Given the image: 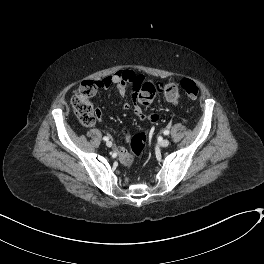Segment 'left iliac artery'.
Listing matches in <instances>:
<instances>
[{"mask_svg": "<svg viewBox=\"0 0 264 264\" xmlns=\"http://www.w3.org/2000/svg\"><path fill=\"white\" fill-rule=\"evenodd\" d=\"M169 133H170L169 130H165V131H164V134H165V135H169Z\"/></svg>", "mask_w": 264, "mask_h": 264, "instance_id": "obj_1", "label": "left iliac artery"}]
</instances>
